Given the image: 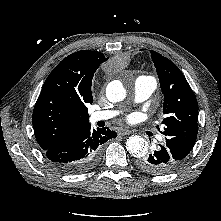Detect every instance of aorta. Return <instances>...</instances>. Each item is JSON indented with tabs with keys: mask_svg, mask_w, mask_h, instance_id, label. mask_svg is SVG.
<instances>
[{
	"mask_svg": "<svg viewBox=\"0 0 221 221\" xmlns=\"http://www.w3.org/2000/svg\"><path fill=\"white\" fill-rule=\"evenodd\" d=\"M106 96L110 102H119L125 99L126 89L119 80L111 81L106 88ZM126 149L134 157H143L148 151L147 142L139 135H132L126 141Z\"/></svg>",
	"mask_w": 221,
	"mask_h": 221,
	"instance_id": "obj_1",
	"label": "aorta"
}]
</instances>
